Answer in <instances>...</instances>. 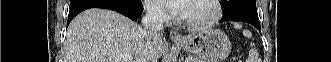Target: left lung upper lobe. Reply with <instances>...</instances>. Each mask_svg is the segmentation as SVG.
<instances>
[{
  "label": "left lung upper lobe",
  "instance_id": "5c2ea615",
  "mask_svg": "<svg viewBox=\"0 0 331 62\" xmlns=\"http://www.w3.org/2000/svg\"><path fill=\"white\" fill-rule=\"evenodd\" d=\"M221 6L224 8V15L237 11H245L257 14L255 0H222Z\"/></svg>",
  "mask_w": 331,
  "mask_h": 62
}]
</instances>
